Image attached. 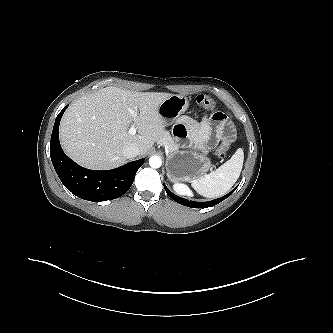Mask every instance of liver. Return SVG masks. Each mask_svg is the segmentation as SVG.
Returning a JSON list of instances; mask_svg holds the SVG:
<instances>
[{
	"instance_id": "6515ba94",
	"label": "liver",
	"mask_w": 333,
	"mask_h": 333,
	"mask_svg": "<svg viewBox=\"0 0 333 333\" xmlns=\"http://www.w3.org/2000/svg\"><path fill=\"white\" fill-rule=\"evenodd\" d=\"M171 95L118 87L84 95L62 117L61 144L68 156L90 169H110L123 164L126 157L122 150L129 144L137 145L140 154L145 155L166 133L159 106ZM130 126L138 134H129Z\"/></svg>"
}]
</instances>
